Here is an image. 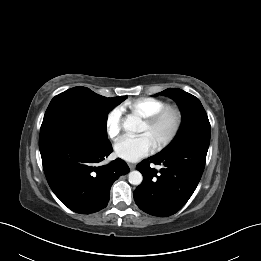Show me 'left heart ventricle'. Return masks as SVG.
Returning <instances> with one entry per match:
<instances>
[{
	"mask_svg": "<svg viewBox=\"0 0 261 261\" xmlns=\"http://www.w3.org/2000/svg\"><path fill=\"white\" fill-rule=\"evenodd\" d=\"M172 125V119L167 117L161 123L154 127H149L144 122L141 124L139 133L146 134L153 145L157 144L163 137L166 136Z\"/></svg>",
	"mask_w": 261,
	"mask_h": 261,
	"instance_id": "b2bd125f",
	"label": "left heart ventricle"
}]
</instances>
